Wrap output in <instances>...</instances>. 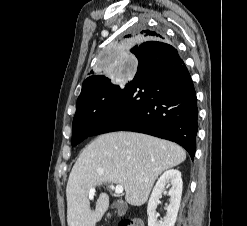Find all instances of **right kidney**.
<instances>
[{"label":"right kidney","instance_id":"1","mask_svg":"<svg viewBox=\"0 0 247 226\" xmlns=\"http://www.w3.org/2000/svg\"><path fill=\"white\" fill-rule=\"evenodd\" d=\"M171 186L168 191L170 196L169 204L166 206V215L158 220L159 214L156 212L159 199L165 187ZM183 182L180 171L171 169L165 171L158 179L148 202V226H174L180 206Z\"/></svg>","mask_w":247,"mask_h":226}]
</instances>
